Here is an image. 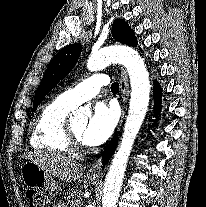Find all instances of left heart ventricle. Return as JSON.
Masks as SVG:
<instances>
[{
    "label": "left heart ventricle",
    "instance_id": "b2bd125f",
    "mask_svg": "<svg viewBox=\"0 0 206 207\" xmlns=\"http://www.w3.org/2000/svg\"><path fill=\"white\" fill-rule=\"evenodd\" d=\"M71 125L73 131L82 140V134L87 126V121L85 120V121L73 122Z\"/></svg>",
    "mask_w": 206,
    "mask_h": 207
}]
</instances>
